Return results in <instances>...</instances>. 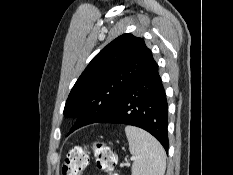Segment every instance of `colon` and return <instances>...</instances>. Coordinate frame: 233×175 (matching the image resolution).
I'll list each match as a JSON object with an SVG mask.
<instances>
[{
    "mask_svg": "<svg viewBox=\"0 0 233 175\" xmlns=\"http://www.w3.org/2000/svg\"><path fill=\"white\" fill-rule=\"evenodd\" d=\"M90 149L96 157L99 169L110 175H117L114 173L117 164L116 155L101 141L94 142L90 146L78 145L69 149L62 165L61 175H82L88 165Z\"/></svg>",
    "mask_w": 233,
    "mask_h": 175,
    "instance_id": "5ec220e1",
    "label": "colon"
}]
</instances>
